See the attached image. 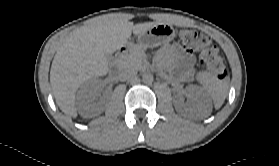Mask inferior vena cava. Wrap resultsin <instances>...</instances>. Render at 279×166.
I'll use <instances>...</instances> for the list:
<instances>
[{
	"label": "inferior vena cava",
	"instance_id": "1",
	"mask_svg": "<svg viewBox=\"0 0 279 166\" xmlns=\"http://www.w3.org/2000/svg\"><path fill=\"white\" fill-rule=\"evenodd\" d=\"M136 70L132 69V68H128L123 70L120 74L123 78L128 79V78H132L136 75Z\"/></svg>",
	"mask_w": 279,
	"mask_h": 166
}]
</instances>
